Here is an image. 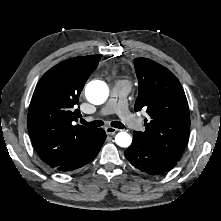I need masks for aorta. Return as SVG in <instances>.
<instances>
[{
  "label": "aorta",
  "instance_id": "1",
  "mask_svg": "<svg viewBox=\"0 0 221 221\" xmlns=\"http://www.w3.org/2000/svg\"><path fill=\"white\" fill-rule=\"evenodd\" d=\"M85 95L89 102L100 105L107 100L109 88L103 81H91L86 86ZM115 142L120 147H129L132 143V137L127 132H119L115 136Z\"/></svg>",
  "mask_w": 221,
  "mask_h": 221
}]
</instances>
